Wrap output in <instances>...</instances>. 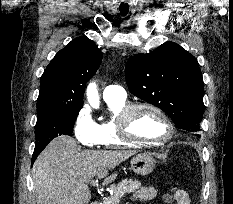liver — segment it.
<instances>
[{
    "label": "liver",
    "instance_id": "6515ba94",
    "mask_svg": "<svg viewBox=\"0 0 233 204\" xmlns=\"http://www.w3.org/2000/svg\"><path fill=\"white\" fill-rule=\"evenodd\" d=\"M135 151H80L76 141L66 135L54 138L36 159L32 169L33 192L37 204H88V183L114 181L109 171L133 156Z\"/></svg>",
    "mask_w": 233,
    "mask_h": 204
}]
</instances>
